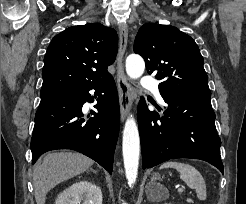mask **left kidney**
<instances>
[{
	"label": "left kidney",
	"instance_id": "1",
	"mask_svg": "<svg viewBox=\"0 0 246 204\" xmlns=\"http://www.w3.org/2000/svg\"><path fill=\"white\" fill-rule=\"evenodd\" d=\"M164 204H172V203H164Z\"/></svg>",
	"mask_w": 246,
	"mask_h": 204
}]
</instances>
